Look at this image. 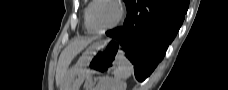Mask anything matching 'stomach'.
<instances>
[{"instance_id":"obj_1","label":"stomach","mask_w":228,"mask_h":90,"mask_svg":"<svg viewBox=\"0 0 228 90\" xmlns=\"http://www.w3.org/2000/svg\"><path fill=\"white\" fill-rule=\"evenodd\" d=\"M121 53L118 44L101 40L90 46L66 74L63 90H79L84 80L93 73L114 68Z\"/></svg>"}]
</instances>
